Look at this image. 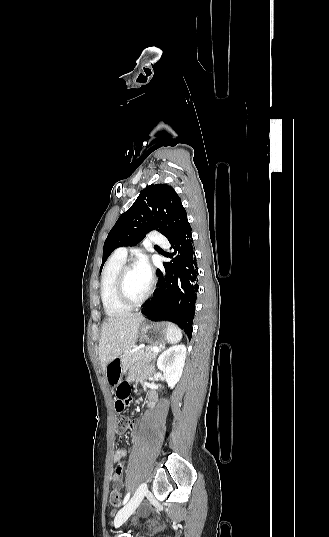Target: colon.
<instances>
[{
    "instance_id": "5ec220e1",
    "label": "colon",
    "mask_w": 329,
    "mask_h": 537,
    "mask_svg": "<svg viewBox=\"0 0 329 537\" xmlns=\"http://www.w3.org/2000/svg\"><path fill=\"white\" fill-rule=\"evenodd\" d=\"M130 426L131 420L128 416L121 414L116 417L114 428L117 434L124 433ZM109 502L111 506L118 507L121 502V493L118 490H112L109 496Z\"/></svg>"
}]
</instances>
